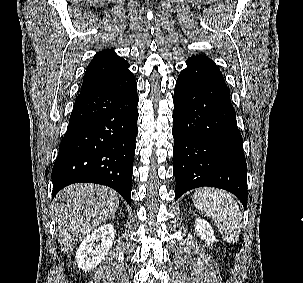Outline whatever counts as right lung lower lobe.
Masks as SVG:
<instances>
[{"label": "right lung lower lobe", "instance_id": "1", "mask_svg": "<svg viewBox=\"0 0 303 283\" xmlns=\"http://www.w3.org/2000/svg\"><path fill=\"white\" fill-rule=\"evenodd\" d=\"M137 105L132 73L78 95L52 169L54 196L67 185L89 182L115 189L131 205Z\"/></svg>", "mask_w": 303, "mask_h": 283}]
</instances>
